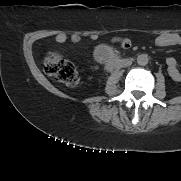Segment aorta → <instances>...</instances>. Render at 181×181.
<instances>
[{"label": "aorta", "mask_w": 181, "mask_h": 181, "mask_svg": "<svg viewBox=\"0 0 181 181\" xmlns=\"http://www.w3.org/2000/svg\"><path fill=\"white\" fill-rule=\"evenodd\" d=\"M137 63L138 65L145 66L149 62V58L147 54H140L137 56Z\"/></svg>", "instance_id": "aorta-1"}]
</instances>
